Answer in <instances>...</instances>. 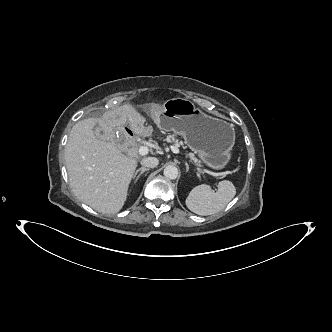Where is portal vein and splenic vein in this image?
<instances>
[{"label": "portal vein and splenic vein", "mask_w": 332, "mask_h": 332, "mask_svg": "<svg viewBox=\"0 0 332 332\" xmlns=\"http://www.w3.org/2000/svg\"><path fill=\"white\" fill-rule=\"evenodd\" d=\"M172 151H173V153H175V154L180 153V150H179L177 147H172ZM148 152H149V149H148V147H146V146H141V147L138 149V153H139L140 155H142V156L148 154ZM196 170H197V175H202V174H204V172H207L206 170L203 171V170H202L201 168H199V167H197Z\"/></svg>", "instance_id": "1"}]
</instances>
